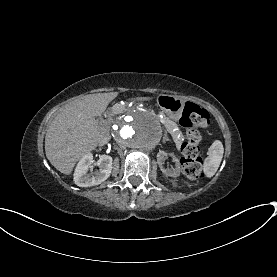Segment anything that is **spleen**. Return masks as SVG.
I'll use <instances>...</instances> for the list:
<instances>
[{
  "label": "spleen",
  "mask_w": 277,
  "mask_h": 277,
  "mask_svg": "<svg viewBox=\"0 0 277 277\" xmlns=\"http://www.w3.org/2000/svg\"><path fill=\"white\" fill-rule=\"evenodd\" d=\"M224 148L221 141L216 140L212 143L208 150V157L204 161L203 170L207 177H212L220 163L223 157Z\"/></svg>",
  "instance_id": "1"
}]
</instances>
